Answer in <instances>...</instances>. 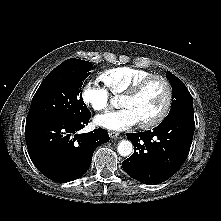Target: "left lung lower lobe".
I'll use <instances>...</instances> for the list:
<instances>
[{"label":"left lung lower lobe","mask_w":221,"mask_h":221,"mask_svg":"<svg viewBox=\"0 0 221 221\" xmlns=\"http://www.w3.org/2000/svg\"><path fill=\"white\" fill-rule=\"evenodd\" d=\"M194 129V118L177 117L162 121L152 131L128 133L135 152L123 161V170L146 184L166 180L186 160Z\"/></svg>","instance_id":"1"}]
</instances>
